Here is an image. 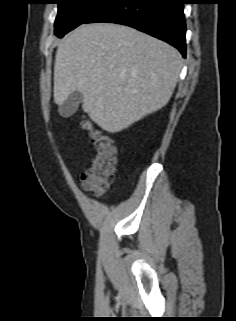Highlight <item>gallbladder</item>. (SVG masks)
<instances>
[{
	"instance_id": "gallbladder-1",
	"label": "gallbladder",
	"mask_w": 236,
	"mask_h": 321,
	"mask_svg": "<svg viewBox=\"0 0 236 321\" xmlns=\"http://www.w3.org/2000/svg\"><path fill=\"white\" fill-rule=\"evenodd\" d=\"M82 101L83 94L81 92L75 91L71 93L70 96L64 101V103L59 105V114L64 118L70 117L76 112L79 104Z\"/></svg>"
}]
</instances>
